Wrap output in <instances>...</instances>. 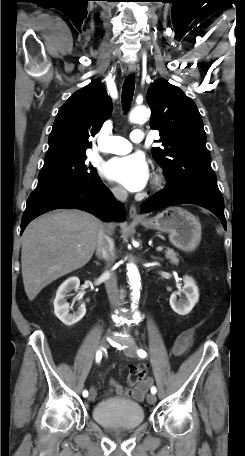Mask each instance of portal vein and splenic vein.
Returning a JSON list of instances; mask_svg holds the SVG:
<instances>
[{"instance_id":"1","label":"portal vein and splenic vein","mask_w":245,"mask_h":456,"mask_svg":"<svg viewBox=\"0 0 245 456\" xmlns=\"http://www.w3.org/2000/svg\"><path fill=\"white\" fill-rule=\"evenodd\" d=\"M156 250H157V251H163V247H162V246H158V247L156 248Z\"/></svg>"}]
</instances>
